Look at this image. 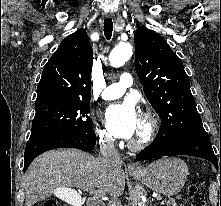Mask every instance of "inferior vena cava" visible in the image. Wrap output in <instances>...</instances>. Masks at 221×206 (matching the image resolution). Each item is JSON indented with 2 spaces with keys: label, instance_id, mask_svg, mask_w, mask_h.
Segmentation results:
<instances>
[{
  "label": "inferior vena cava",
  "instance_id": "obj_1",
  "mask_svg": "<svg viewBox=\"0 0 221 206\" xmlns=\"http://www.w3.org/2000/svg\"><path fill=\"white\" fill-rule=\"evenodd\" d=\"M100 153L102 158L107 159L111 162H120V155L115 148L114 139L112 138H104L100 139ZM108 206H122L121 201L117 197H113L111 201H109Z\"/></svg>",
  "mask_w": 221,
  "mask_h": 206
}]
</instances>
